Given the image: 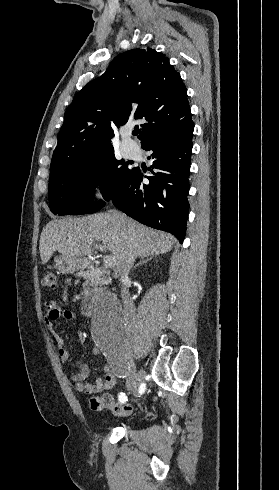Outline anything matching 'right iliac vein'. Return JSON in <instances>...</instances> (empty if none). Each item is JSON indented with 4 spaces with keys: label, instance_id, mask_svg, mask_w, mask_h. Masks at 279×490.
<instances>
[{
    "label": "right iliac vein",
    "instance_id": "obj_1",
    "mask_svg": "<svg viewBox=\"0 0 279 490\" xmlns=\"http://www.w3.org/2000/svg\"><path fill=\"white\" fill-rule=\"evenodd\" d=\"M121 361H124L129 364L130 366V374L128 377V386L129 388H134V383L137 380V370H136V365L131 357V354H123V356L120 357Z\"/></svg>",
    "mask_w": 279,
    "mask_h": 490
}]
</instances>
